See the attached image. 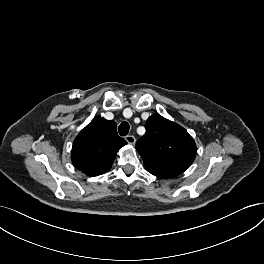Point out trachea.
<instances>
[{
  "label": "trachea",
  "instance_id": "3493384b",
  "mask_svg": "<svg viewBox=\"0 0 264 264\" xmlns=\"http://www.w3.org/2000/svg\"><path fill=\"white\" fill-rule=\"evenodd\" d=\"M129 128V124L127 122H122L118 127L119 134L121 136H126L129 132Z\"/></svg>",
  "mask_w": 264,
  "mask_h": 264
}]
</instances>
